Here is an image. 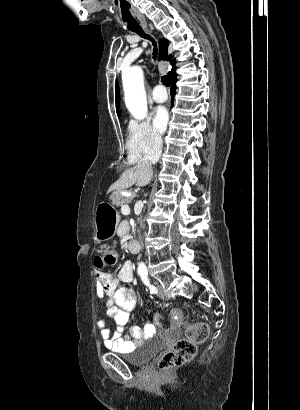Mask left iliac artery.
I'll return each instance as SVG.
<instances>
[{"label":"left iliac artery","mask_w":300,"mask_h":410,"mask_svg":"<svg viewBox=\"0 0 300 410\" xmlns=\"http://www.w3.org/2000/svg\"><path fill=\"white\" fill-rule=\"evenodd\" d=\"M140 277L143 283L149 288L151 294H156L158 292L157 288L150 283V279L148 277L147 272L141 273Z\"/></svg>","instance_id":"1"}]
</instances>
